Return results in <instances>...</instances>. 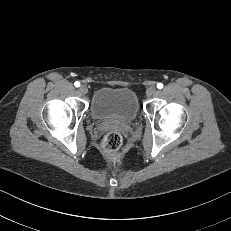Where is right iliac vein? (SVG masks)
Returning <instances> with one entry per match:
<instances>
[{"label":"right iliac vein","instance_id":"1","mask_svg":"<svg viewBox=\"0 0 231 231\" xmlns=\"http://www.w3.org/2000/svg\"><path fill=\"white\" fill-rule=\"evenodd\" d=\"M79 91H80L82 94H87L88 88H87L85 85H81L80 88H79Z\"/></svg>","mask_w":231,"mask_h":231}]
</instances>
